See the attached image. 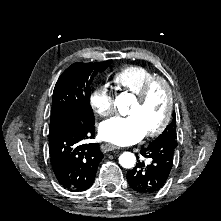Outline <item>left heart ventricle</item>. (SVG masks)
<instances>
[{
    "mask_svg": "<svg viewBox=\"0 0 221 221\" xmlns=\"http://www.w3.org/2000/svg\"><path fill=\"white\" fill-rule=\"evenodd\" d=\"M166 110V90L162 86H157L151 92L145 104L139 105L135 100L127 115L136 117L147 133L160 124L166 114Z\"/></svg>",
    "mask_w": 221,
    "mask_h": 221,
    "instance_id": "left-heart-ventricle-1",
    "label": "left heart ventricle"
}]
</instances>
